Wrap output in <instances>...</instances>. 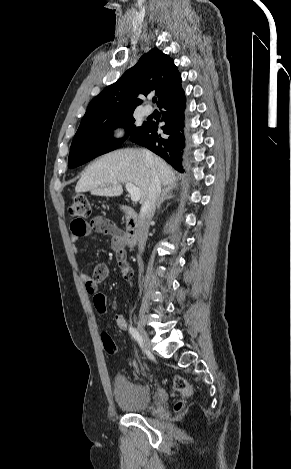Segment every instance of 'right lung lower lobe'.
Masks as SVG:
<instances>
[{
  "label": "right lung lower lobe",
  "instance_id": "98d812e1",
  "mask_svg": "<svg viewBox=\"0 0 291 469\" xmlns=\"http://www.w3.org/2000/svg\"><path fill=\"white\" fill-rule=\"evenodd\" d=\"M158 106L162 109L163 134H158L157 124L149 121L131 134V141L150 149L176 170L183 172L181 155L185 148L184 110L186 107L183 89L164 99Z\"/></svg>",
  "mask_w": 291,
  "mask_h": 469
}]
</instances>
